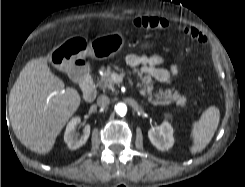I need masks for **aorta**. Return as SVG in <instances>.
I'll return each mask as SVG.
<instances>
[{
	"instance_id": "1",
	"label": "aorta",
	"mask_w": 245,
	"mask_h": 187,
	"mask_svg": "<svg viewBox=\"0 0 245 187\" xmlns=\"http://www.w3.org/2000/svg\"><path fill=\"white\" fill-rule=\"evenodd\" d=\"M115 111L119 116H125L127 112V106L124 103H118L115 106Z\"/></svg>"
}]
</instances>
